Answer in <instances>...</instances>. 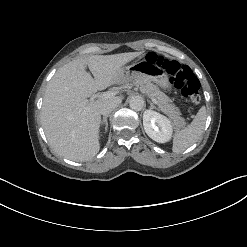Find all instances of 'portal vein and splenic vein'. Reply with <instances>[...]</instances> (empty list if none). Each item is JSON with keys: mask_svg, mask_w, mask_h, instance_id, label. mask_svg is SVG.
Masks as SVG:
<instances>
[{"mask_svg": "<svg viewBox=\"0 0 247 247\" xmlns=\"http://www.w3.org/2000/svg\"><path fill=\"white\" fill-rule=\"evenodd\" d=\"M118 93H119L118 91H107V92H104L103 94L99 95L98 98L99 99H109V98L114 97ZM150 98L154 104L158 105V102L155 98H153V97H150ZM93 101H94V99H91V102H93Z\"/></svg>", "mask_w": 247, "mask_h": 247, "instance_id": "1", "label": "portal vein and splenic vein"}]
</instances>
